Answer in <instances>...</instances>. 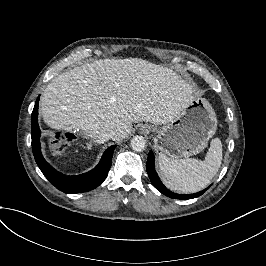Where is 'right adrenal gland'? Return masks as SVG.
I'll use <instances>...</instances> for the list:
<instances>
[{"label": "right adrenal gland", "mask_w": 266, "mask_h": 266, "mask_svg": "<svg viewBox=\"0 0 266 266\" xmlns=\"http://www.w3.org/2000/svg\"><path fill=\"white\" fill-rule=\"evenodd\" d=\"M88 149H91L92 148V141H90L89 143H86Z\"/></svg>", "instance_id": "obj_1"}]
</instances>
